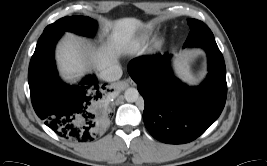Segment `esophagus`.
Listing matches in <instances>:
<instances>
[{"mask_svg":"<svg viewBox=\"0 0 267 166\" xmlns=\"http://www.w3.org/2000/svg\"><path fill=\"white\" fill-rule=\"evenodd\" d=\"M129 85H135V83L131 79H127L126 81L121 82L118 88L125 89L126 87H129Z\"/></svg>","mask_w":267,"mask_h":166,"instance_id":"esophagus-1","label":"esophagus"}]
</instances>
